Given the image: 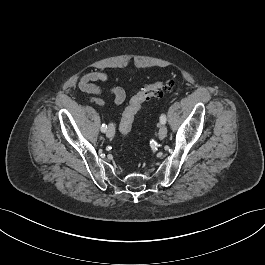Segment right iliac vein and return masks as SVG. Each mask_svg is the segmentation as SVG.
<instances>
[{
	"mask_svg": "<svg viewBox=\"0 0 265 265\" xmlns=\"http://www.w3.org/2000/svg\"><path fill=\"white\" fill-rule=\"evenodd\" d=\"M114 133H115V128L113 126V124H109L108 128H107V131H106V135L108 138H111L114 136Z\"/></svg>",
	"mask_w": 265,
	"mask_h": 265,
	"instance_id": "right-iliac-vein-1",
	"label": "right iliac vein"
}]
</instances>
